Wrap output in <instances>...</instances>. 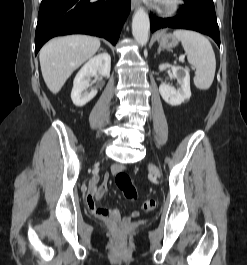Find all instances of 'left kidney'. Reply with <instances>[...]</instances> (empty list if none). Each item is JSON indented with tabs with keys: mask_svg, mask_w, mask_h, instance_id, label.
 <instances>
[{
	"mask_svg": "<svg viewBox=\"0 0 247 265\" xmlns=\"http://www.w3.org/2000/svg\"><path fill=\"white\" fill-rule=\"evenodd\" d=\"M166 68H171L173 76L177 79L180 88L176 90L174 87L162 83L159 86V92L164 101L171 106L181 105L191 97L189 70L169 64H162L159 66L160 71Z\"/></svg>",
	"mask_w": 247,
	"mask_h": 265,
	"instance_id": "obj_1",
	"label": "left kidney"
}]
</instances>
